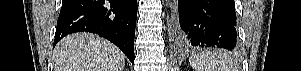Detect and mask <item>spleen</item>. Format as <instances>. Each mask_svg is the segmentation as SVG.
<instances>
[{
  "instance_id": "obj_1",
  "label": "spleen",
  "mask_w": 301,
  "mask_h": 71,
  "mask_svg": "<svg viewBox=\"0 0 301 71\" xmlns=\"http://www.w3.org/2000/svg\"><path fill=\"white\" fill-rule=\"evenodd\" d=\"M189 64L196 71H235V61L225 54L199 52L190 56Z\"/></svg>"
}]
</instances>
